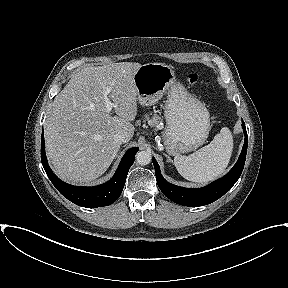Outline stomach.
Here are the masks:
<instances>
[{"label": "stomach", "mask_w": 288, "mask_h": 288, "mask_svg": "<svg viewBox=\"0 0 288 288\" xmlns=\"http://www.w3.org/2000/svg\"><path fill=\"white\" fill-rule=\"evenodd\" d=\"M137 100L151 106L165 93L166 127L163 141L170 155H180L203 145L210 132V114L205 105L177 81L173 68L165 63H147L133 75Z\"/></svg>", "instance_id": "0dacf381"}]
</instances>
